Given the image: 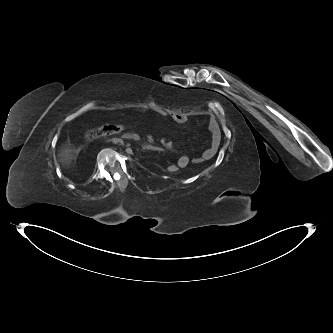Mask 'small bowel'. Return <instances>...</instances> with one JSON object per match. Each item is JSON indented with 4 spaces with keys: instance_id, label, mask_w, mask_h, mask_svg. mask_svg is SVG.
<instances>
[{
    "instance_id": "c3829d8e",
    "label": "small bowel",
    "mask_w": 333,
    "mask_h": 333,
    "mask_svg": "<svg viewBox=\"0 0 333 333\" xmlns=\"http://www.w3.org/2000/svg\"><path fill=\"white\" fill-rule=\"evenodd\" d=\"M171 118L177 124H184L188 121V116L184 113H175L171 116ZM209 128L212 133L211 144L200 157H197L193 160L197 164L212 159L219 149L221 136L219 126L213 116H209ZM189 163V157L187 155H182L178 159L176 166L185 168Z\"/></svg>"
}]
</instances>
